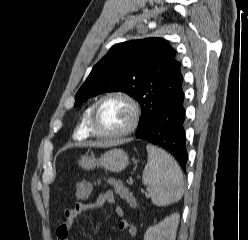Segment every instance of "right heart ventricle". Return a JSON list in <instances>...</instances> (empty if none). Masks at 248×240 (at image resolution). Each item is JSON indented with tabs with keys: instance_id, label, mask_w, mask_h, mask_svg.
<instances>
[{
	"instance_id": "obj_1",
	"label": "right heart ventricle",
	"mask_w": 248,
	"mask_h": 240,
	"mask_svg": "<svg viewBox=\"0 0 248 240\" xmlns=\"http://www.w3.org/2000/svg\"><path fill=\"white\" fill-rule=\"evenodd\" d=\"M93 104H89L83 111L80 121L74 131V138L84 140L91 136L89 120Z\"/></svg>"
}]
</instances>
